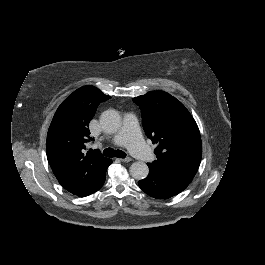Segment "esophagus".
Returning <instances> with one entry per match:
<instances>
[{"mask_svg": "<svg viewBox=\"0 0 265 265\" xmlns=\"http://www.w3.org/2000/svg\"><path fill=\"white\" fill-rule=\"evenodd\" d=\"M132 159L130 157H126V158H120V161L122 162H130Z\"/></svg>", "mask_w": 265, "mask_h": 265, "instance_id": "esophagus-1", "label": "esophagus"}]
</instances>
